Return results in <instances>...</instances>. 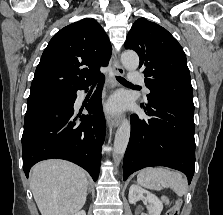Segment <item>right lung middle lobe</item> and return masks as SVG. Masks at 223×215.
Wrapping results in <instances>:
<instances>
[{"label":"right lung middle lobe","instance_id":"right-lung-middle-lobe-1","mask_svg":"<svg viewBox=\"0 0 223 215\" xmlns=\"http://www.w3.org/2000/svg\"><path fill=\"white\" fill-rule=\"evenodd\" d=\"M74 94L75 93H65V92H46V93L30 94V96L28 97L27 110L69 100L74 96Z\"/></svg>","mask_w":223,"mask_h":215}]
</instances>
